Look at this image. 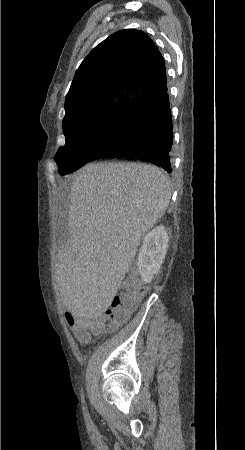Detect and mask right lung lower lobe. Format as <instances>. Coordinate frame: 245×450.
I'll return each instance as SVG.
<instances>
[{"label":"right lung lower lobe","mask_w":245,"mask_h":450,"mask_svg":"<svg viewBox=\"0 0 245 450\" xmlns=\"http://www.w3.org/2000/svg\"><path fill=\"white\" fill-rule=\"evenodd\" d=\"M172 118L167 89L157 98L140 108L131 117L125 136L105 152L91 160L101 158L138 159L172 172Z\"/></svg>","instance_id":"obj_1"}]
</instances>
